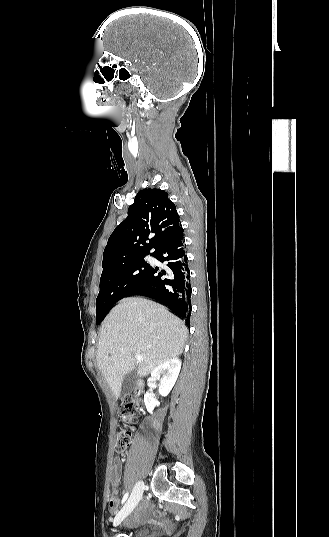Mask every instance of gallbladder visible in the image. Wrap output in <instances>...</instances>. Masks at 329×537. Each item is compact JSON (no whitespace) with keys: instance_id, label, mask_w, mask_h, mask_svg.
Returning a JSON list of instances; mask_svg holds the SVG:
<instances>
[{"instance_id":"1","label":"gallbladder","mask_w":329,"mask_h":537,"mask_svg":"<svg viewBox=\"0 0 329 537\" xmlns=\"http://www.w3.org/2000/svg\"><path fill=\"white\" fill-rule=\"evenodd\" d=\"M137 377L138 375L135 369L128 372L127 374L123 376L122 386H121L122 395L131 393L135 389Z\"/></svg>"}]
</instances>
